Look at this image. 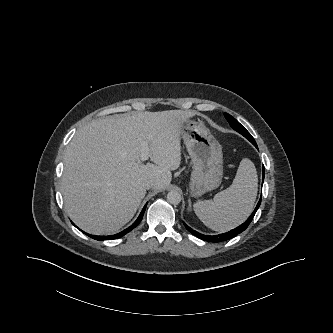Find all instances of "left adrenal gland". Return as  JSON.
I'll return each mask as SVG.
<instances>
[{
    "label": "left adrenal gland",
    "instance_id": "a2214340",
    "mask_svg": "<svg viewBox=\"0 0 333 333\" xmlns=\"http://www.w3.org/2000/svg\"><path fill=\"white\" fill-rule=\"evenodd\" d=\"M188 203H189L188 211H191V199L190 198L188 199Z\"/></svg>",
    "mask_w": 333,
    "mask_h": 333
}]
</instances>
